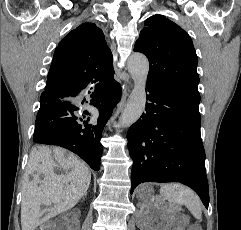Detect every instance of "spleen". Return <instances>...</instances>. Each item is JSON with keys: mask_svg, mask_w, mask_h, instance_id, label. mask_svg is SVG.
<instances>
[{"mask_svg": "<svg viewBox=\"0 0 241 230\" xmlns=\"http://www.w3.org/2000/svg\"><path fill=\"white\" fill-rule=\"evenodd\" d=\"M160 194L171 203L185 205L194 217L201 218V201L189 188L180 184H166L161 187Z\"/></svg>", "mask_w": 241, "mask_h": 230, "instance_id": "3e777b00", "label": "spleen"}]
</instances>
